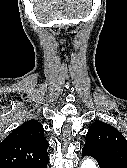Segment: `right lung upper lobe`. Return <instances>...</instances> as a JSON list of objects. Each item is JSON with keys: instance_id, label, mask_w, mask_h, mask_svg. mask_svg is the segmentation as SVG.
<instances>
[{"instance_id": "1", "label": "right lung upper lobe", "mask_w": 127, "mask_h": 168, "mask_svg": "<svg viewBox=\"0 0 127 168\" xmlns=\"http://www.w3.org/2000/svg\"><path fill=\"white\" fill-rule=\"evenodd\" d=\"M48 146L42 125L29 120L0 143V166L11 163H43L48 159Z\"/></svg>"}]
</instances>
